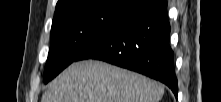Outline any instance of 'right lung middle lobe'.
<instances>
[{
    "label": "right lung middle lobe",
    "instance_id": "obj_1",
    "mask_svg": "<svg viewBox=\"0 0 221 102\" xmlns=\"http://www.w3.org/2000/svg\"><path fill=\"white\" fill-rule=\"evenodd\" d=\"M137 9L126 0H86L54 15L44 72L47 83Z\"/></svg>",
    "mask_w": 221,
    "mask_h": 102
}]
</instances>
